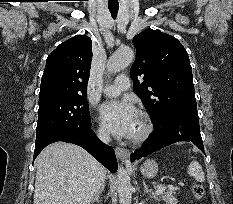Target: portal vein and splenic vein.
I'll return each instance as SVG.
<instances>
[{"instance_id":"1","label":"portal vein and splenic vein","mask_w":233,"mask_h":204,"mask_svg":"<svg viewBox=\"0 0 233 204\" xmlns=\"http://www.w3.org/2000/svg\"><path fill=\"white\" fill-rule=\"evenodd\" d=\"M164 190H165V186L164 185H160V186L157 187V190L155 191V194L159 195V194L163 193Z\"/></svg>"}]
</instances>
